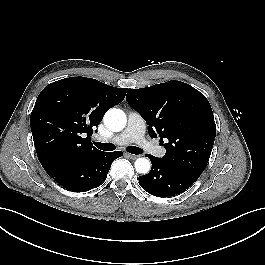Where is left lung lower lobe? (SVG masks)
<instances>
[{"label": "left lung lower lobe", "instance_id": "obj_1", "mask_svg": "<svg viewBox=\"0 0 265 265\" xmlns=\"http://www.w3.org/2000/svg\"><path fill=\"white\" fill-rule=\"evenodd\" d=\"M152 162L151 171L139 177L141 187L157 197H172L184 192L199 177L164 163L160 158L147 154Z\"/></svg>", "mask_w": 265, "mask_h": 265}]
</instances>
